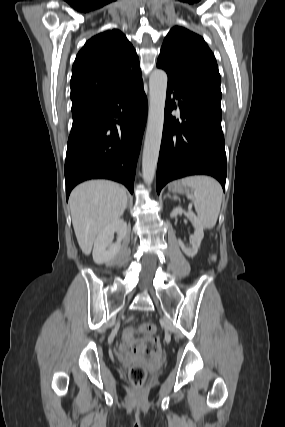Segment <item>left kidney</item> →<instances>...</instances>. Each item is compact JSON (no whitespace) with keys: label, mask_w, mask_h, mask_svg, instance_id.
<instances>
[{"label":"left kidney","mask_w":285,"mask_h":427,"mask_svg":"<svg viewBox=\"0 0 285 427\" xmlns=\"http://www.w3.org/2000/svg\"><path fill=\"white\" fill-rule=\"evenodd\" d=\"M183 213L193 224L195 228V232L191 237V247H186L181 240H179L178 242L182 251L185 253L186 256L194 257L197 254L201 241L204 237L203 225L201 224L199 218L193 212L191 211L186 212L180 207L174 208L170 216L171 218H174L177 215H180Z\"/></svg>","instance_id":"left-kidney-1"}]
</instances>
